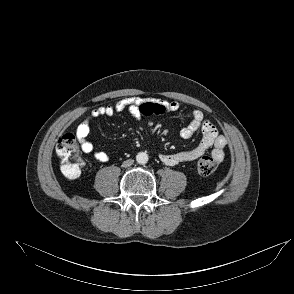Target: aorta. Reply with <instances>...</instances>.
<instances>
[{"mask_svg": "<svg viewBox=\"0 0 294 294\" xmlns=\"http://www.w3.org/2000/svg\"><path fill=\"white\" fill-rule=\"evenodd\" d=\"M136 161L138 164L144 165L148 162V155L145 152H139L136 155Z\"/></svg>", "mask_w": 294, "mask_h": 294, "instance_id": "762f6f07", "label": "aorta"}]
</instances>
